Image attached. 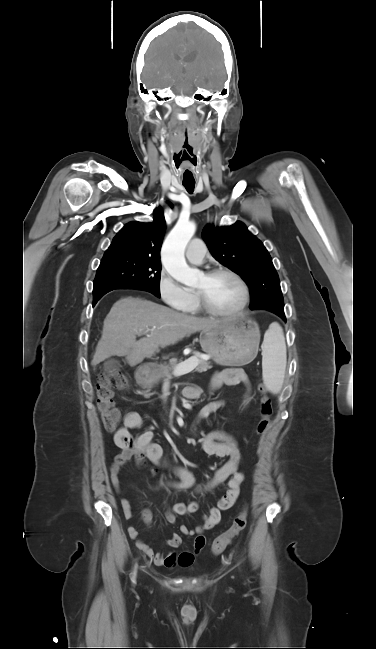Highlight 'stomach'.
Listing matches in <instances>:
<instances>
[{
	"mask_svg": "<svg viewBox=\"0 0 376 649\" xmlns=\"http://www.w3.org/2000/svg\"><path fill=\"white\" fill-rule=\"evenodd\" d=\"M259 328L256 323L242 318L222 320L200 333V345L216 363L240 366L252 361L259 346ZM157 370L148 371L144 382L153 380Z\"/></svg>",
	"mask_w": 376,
	"mask_h": 649,
	"instance_id": "0dacf381",
	"label": "stomach"
}]
</instances>
